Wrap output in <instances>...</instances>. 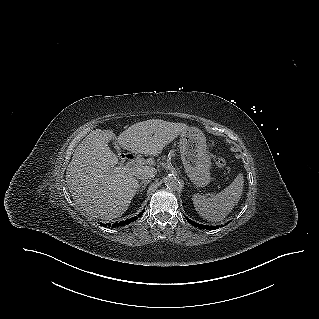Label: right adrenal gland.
Masks as SVG:
<instances>
[{"label":"right adrenal gland","instance_id":"2a0ac1e0","mask_svg":"<svg viewBox=\"0 0 319 319\" xmlns=\"http://www.w3.org/2000/svg\"><path fill=\"white\" fill-rule=\"evenodd\" d=\"M149 182H150V180L141 181L138 184L137 193L142 192L146 188L147 184H149Z\"/></svg>","mask_w":319,"mask_h":319}]
</instances>
